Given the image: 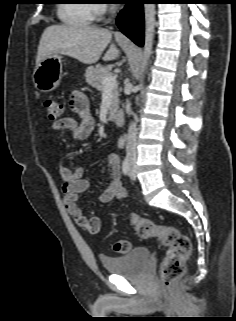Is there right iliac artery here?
<instances>
[{
  "label": "right iliac artery",
  "mask_w": 236,
  "mask_h": 321,
  "mask_svg": "<svg viewBox=\"0 0 236 321\" xmlns=\"http://www.w3.org/2000/svg\"><path fill=\"white\" fill-rule=\"evenodd\" d=\"M130 170V162H129V158L125 157L123 163H122V172L124 175H128Z\"/></svg>",
  "instance_id": "obj_1"
}]
</instances>
